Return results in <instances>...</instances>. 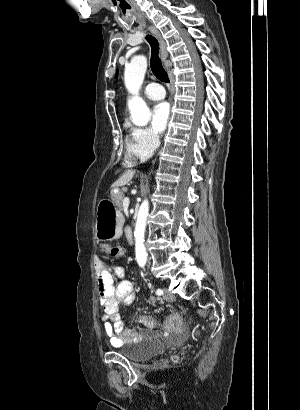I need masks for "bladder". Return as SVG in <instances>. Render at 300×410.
Wrapping results in <instances>:
<instances>
[{"label":"bladder","mask_w":300,"mask_h":410,"mask_svg":"<svg viewBox=\"0 0 300 410\" xmlns=\"http://www.w3.org/2000/svg\"><path fill=\"white\" fill-rule=\"evenodd\" d=\"M165 346L162 342H149L144 343L143 341L135 344L129 349L124 350V355L133 363L144 362L159 352H163Z\"/></svg>","instance_id":"bladder-1"}]
</instances>
